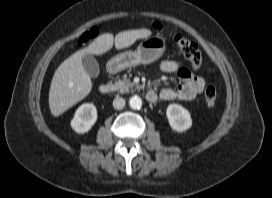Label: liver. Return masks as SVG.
<instances>
[{
	"label": "liver",
	"instance_id": "6515ba94",
	"mask_svg": "<svg viewBox=\"0 0 272 198\" xmlns=\"http://www.w3.org/2000/svg\"><path fill=\"white\" fill-rule=\"evenodd\" d=\"M151 34L149 29L123 31L115 37L111 33H104L88 47L68 57L57 68L51 81L49 90L51 114L55 117L63 114L90 93L91 78L82 65V58L85 54L102 55L109 51L113 45L118 50L127 48L138 39L148 38Z\"/></svg>",
	"mask_w": 272,
	"mask_h": 198
}]
</instances>
